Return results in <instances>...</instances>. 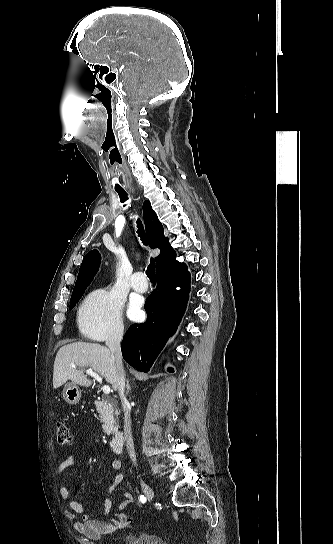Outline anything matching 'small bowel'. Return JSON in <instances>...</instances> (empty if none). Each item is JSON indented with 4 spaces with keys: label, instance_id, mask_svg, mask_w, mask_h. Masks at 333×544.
<instances>
[{
    "label": "small bowel",
    "instance_id": "c3829d8e",
    "mask_svg": "<svg viewBox=\"0 0 333 544\" xmlns=\"http://www.w3.org/2000/svg\"><path fill=\"white\" fill-rule=\"evenodd\" d=\"M74 458L68 455L58 466V479L60 482L59 493L60 497L66 507L65 516L73 522L74 528L84 534L90 539H98L103 534H114L124 529L128 524V517L123 512H117L111 514L112 501L110 494L117 488V486L123 481L124 474L122 473V464L120 460H113L111 466L117 471L113 482L108 487L107 497L104 500V511L102 516L109 517V521H103L95 515L85 512L82 505L70 498L69 490L66 487L64 480L67 469L73 464ZM133 500V496L130 492L123 494V501L117 506L119 511L125 510L129 507Z\"/></svg>",
    "mask_w": 333,
    "mask_h": 544
}]
</instances>
